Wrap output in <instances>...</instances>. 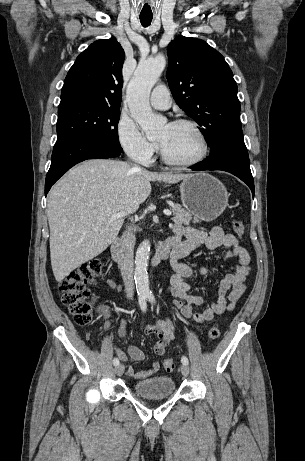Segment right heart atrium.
<instances>
[{
	"label": "right heart atrium",
	"mask_w": 305,
	"mask_h": 461,
	"mask_svg": "<svg viewBox=\"0 0 305 461\" xmlns=\"http://www.w3.org/2000/svg\"><path fill=\"white\" fill-rule=\"evenodd\" d=\"M117 139L123 150L134 160L150 164L158 146L148 140L138 125L129 117L121 116L116 128Z\"/></svg>",
	"instance_id": "1"
}]
</instances>
